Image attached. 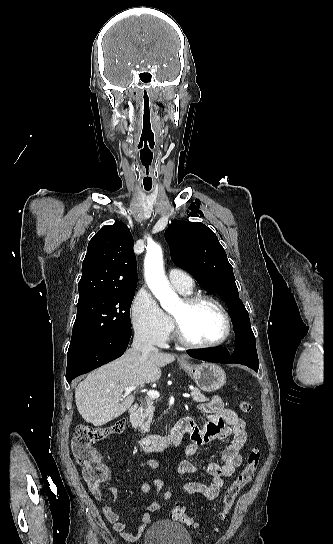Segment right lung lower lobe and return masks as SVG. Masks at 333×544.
Returning a JSON list of instances; mask_svg holds the SVG:
<instances>
[{"mask_svg": "<svg viewBox=\"0 0 333 544\" xmlns=\"http://www.w3.org/2000/svg\"><path fill=\"white\" fill-rule=\"evenodd\" d=\"M131 330H123L95 343L88 349L67 358L66 379L69 383L81 374L102 366L118 357L126 350Z\"/></svg>", "mask_w": 333, "mask_h": 544, "instance_id": "obj_1", "label": "right lung lower lobe"}]
</instances>
